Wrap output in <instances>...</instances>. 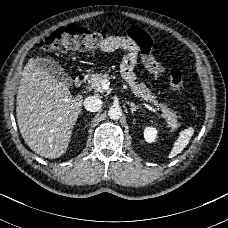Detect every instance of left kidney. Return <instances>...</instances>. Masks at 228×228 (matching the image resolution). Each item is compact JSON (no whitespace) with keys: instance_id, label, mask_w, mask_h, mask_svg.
<instances>
[{"instance_id":"5707ae66","label":"left kidney","mask_w":228,"mask_h":228,"mask_svg":"<svg viewBox=\"0 0 228 228\" xmlns=\"http://www.w3.org/2000/svg\"><path fill=\"white\" fill-rule=\"evenodd\" d=\"M144 135L147 141H154L156 138V131L153 128H146Z\"/></svg>"}]
</instances>
